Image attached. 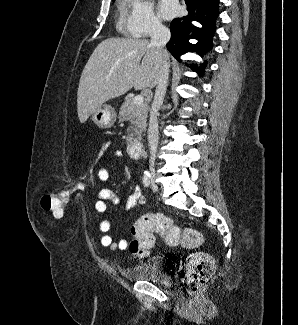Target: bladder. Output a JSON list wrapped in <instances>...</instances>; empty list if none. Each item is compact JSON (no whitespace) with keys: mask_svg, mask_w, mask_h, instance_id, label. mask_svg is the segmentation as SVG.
I'll list each match as a JSON object with an SVG mask.
<instances>
[{"mask_svg":"<svg viewBox=\"0 0 298 325\" xmlns=\"http://www.w3.org/2000/svg\"><path fill=\"white\" fill-rule=\"evenodd\" d=\"M121 274L126 280L133 282H150L166 287L172 283L169 276L164 272L160 259L156 257L126 267Z\"/></svg>","mask_w":298,"mask_h":325,"instance_id":"31cf9c89","label":"bladder"}]
</instances>
